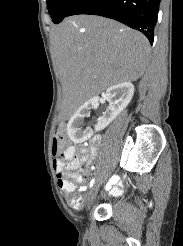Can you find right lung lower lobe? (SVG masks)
I'll use <instances>...</instances> for the list:
<instances>
[{
  "label": "right lung lower lobe",
  "mask_w": 183,
  "mask_h": 246,
  "mask_svg": "<svg viewBox=\"0 0 183 246\" xmlns=\"http://www.w3.org/2000/svg\"><path fill=\"white\" fill-rule=\"evenodd\" d=\"M159 4L160 0H78L66 17L91 14L115 19L142 32L153 43Z\"/></svg>",
  "instance_id": "1"
}]
</instances>
